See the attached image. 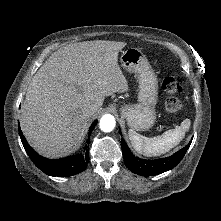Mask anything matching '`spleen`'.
Here are the masks:
<instances>
[{
	"instance_id": "3e777b00",
	"label": "spleen",
	"mask_w": 221,
	"mask_h": 221,
	"mask_svg": "<svg viewBox=\"0 0 221 221\" xmlns=\"http://www.w3.org/2000/svg\"><path fill=\"white\" fill-rule=\"evenodd\" d=\"M190 125V119H185L180 126H176L174 129L167 130L162 135L152 138L140 135L132 129L129 130L128 134L133 148L138 153L145 156H158L178 145L185 137Z\"/></svg>"
}]
</instances>
